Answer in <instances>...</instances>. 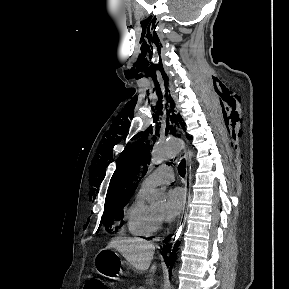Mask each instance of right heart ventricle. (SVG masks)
<instances>
[{
	"label": "right heart ventricle",
	"instance_id": "1",
	"mask_svg": "<svg viewBox=\"0 0 289 289\" xmlns=\"http://www.w3.org/2000/svg\"><path fill=\"white\" fill-rule=\"evenodd\" d=\"M146 193L147 191L140 189L125 211L127 229L136 237H151L157 232L158 226L145 200Z\"/></svg>",
	"mask_w": 289,
	"mask_h": 289
}]
</instances>
